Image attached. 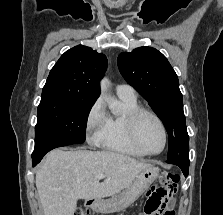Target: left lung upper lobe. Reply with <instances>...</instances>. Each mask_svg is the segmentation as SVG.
<instances>
[{
    "label": "left lung upper lobe",
    "instance_id": "obj_1",
    "mask_svg": "<svg viewBox=\"0 0 223 215\" xmlns=\"http://www.w3.org/2000/svg\"><path fill=\"white\" fill-rule=\"evenodd\" d=\"M128 84L148 101L169 135L168 159L189 161V136L178 77L167 58L152 47H139L118 56Z\"/></svg>",
    "mask_w": 223,
    "mask_h": 215
}]
</instances>
